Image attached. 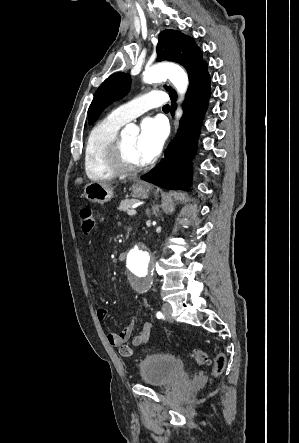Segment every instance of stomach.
Masks as SVG:
<instances>
[{
  "instance_id": "0dacf381",
  "label": "stomach",
  "mask_w": 299,
  "mask_h": 443,
  "mask_svg": "<svg viewBox=\"0 0 299 443\" xmlns=\"http://www.w3.org/2000/svg\"><path fill=\"white\" fill-rule=\"evenodd\" d=\"M152 190L149 184L135 183L132 192L135 197L147 198ZM113 188L107 184L88 183L84 188V196L93 203L104 204L113 198Z\"/></svg>"
}]
</instances>
